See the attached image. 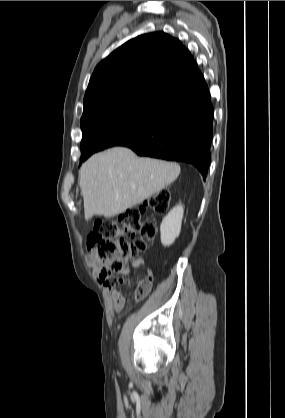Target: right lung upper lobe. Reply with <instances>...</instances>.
I'll use <instances>...</instances> for the list:
<instances>
[{
  "instance_id": "obj_1",
  "label": "right lung upper lobe",
  "mask_w": 285,
  "mask_h": 418,
  "mask_svg": "<svg viewBox=\"0 0 285 418\" xmlns=\"http://www.w3.org/2000/svg\"><path fill=\"white\" fill-rule=\"evenodd\" d=\"M205 84L180 40L164 32L144 34L97 65L85 93L82 118L107 105L135 100L170 106Z\"/></svg>"
}]
</instances>
